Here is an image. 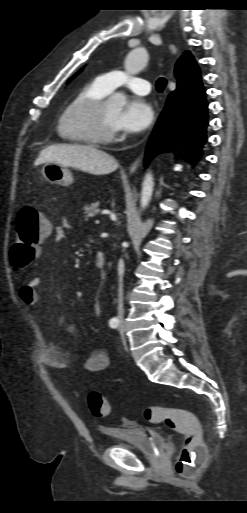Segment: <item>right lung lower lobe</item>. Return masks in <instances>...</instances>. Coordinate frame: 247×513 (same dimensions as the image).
Wrapping results in <instances>:
<instances>
[{
    "instance_id": "right-lung-lower-lobe-1",
    "label": "right lung lower lobe",
    "mask_w": 247,
    "mask_h": 513,
    "mask_svg": "<svg viewBox=\"0 0 247 513\" xmlns=\"http://www.w3.org/2000/svg\"><path fill=\"white\" fill-rule=\"evenodd\" d=\"M208 102L202 84L192 90L173 91L167 99L146 149L145 164L159 152L184 147L195 161L206 142Z\"/></svg>"
}]
</instances>
